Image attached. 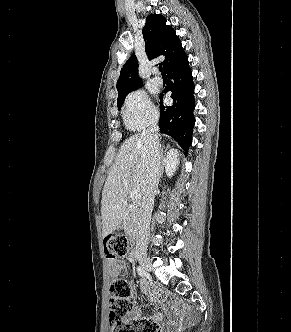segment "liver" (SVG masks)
<instances>
[{
	"label": "liver",
	"instance_id": "obj_1",
	"mask_svg": "<svg viewBox=\"0 0 291 332\" xmlns=\"http://www.w3.org/2000/svg\"><path fill=\"white\" fill-rule=\"evenodd\" d=\"M141 135H134L125 140L105 181L101 200L103 238L113 233L121 224L128 194L132 190L142 192L147 145ZM165 160L167 164V159ZM124 181L127 185L123 184Z\"/></svg>",
	"mask_w": 291,
	"mask_h": 332
}]
</instances>
